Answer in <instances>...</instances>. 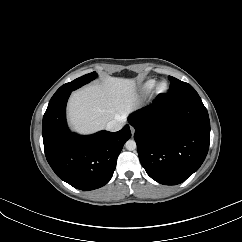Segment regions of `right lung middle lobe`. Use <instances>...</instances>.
Masks as SVG:
<instances>
[{
  "mask_svg": "<svg viewBox=\"0 0 242 242\" xmlns=\"http://www.w3.org/2000/svg\"><path fill=\"white\" fill-rule=\"evenodd\" d=\"M97 77L96 72H92L86 75H83L75 80H73L72 82L66 83L63 86H61L53 95L54 96H58L64 92L67 91H73L76 90L77 88L87 84L88 82L92 81L93 79H95Z\"/></svg>",
  "mask_w": 242,
  "mask_h": 242,
  "instance_id": "dd1d6c3e",
  "label": "right lung middle lobe"
}]
</instances>
